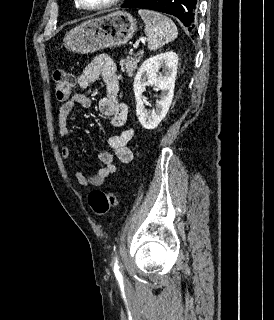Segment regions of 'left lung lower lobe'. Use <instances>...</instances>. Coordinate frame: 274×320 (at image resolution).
<instances>
[{
    "label": "left lung lower lobe",
    "mask_w": 274,
    "mask_h": 320,
    "mask_svg": "<svg viewBox=\"0 0 274 320\" xmlns=\"http://www.w3.org/2000/svg\"><path fill=\"white\" fill-rule=\"evenodd\" d=\"M121 7L142 8L176 16L192 30L197 14V0H127Z\"/></svg>",
    "instance_id": "left-lung-lower-lobe-1"
}]
</instances>
